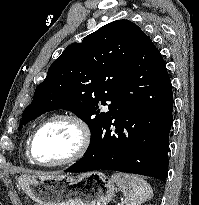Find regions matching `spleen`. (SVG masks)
I'll use <instances>...</instances> for the list:
<instances>
[{
  "label": "spleen",
  "instance_id": "obj_1",
  "mask_svg": "<svg viewBox=\"0 0 199 205\" xmlns=\"http://www.w3.org/2000/svg\"><path fill=\"white\" fill-rule=\"evenodd\" d=\"M111 180L117 184L126 197V205H139L153 195L150 185L141 177L126 173H115Z\"/></svg>",
  "mask_w": 199,
  "mask_h": 205
}]
</instances>
